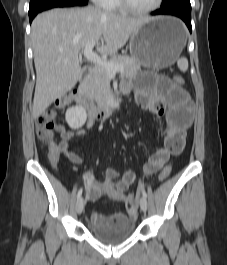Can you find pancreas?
Here are the masks:
<instances>
[{"instance_id":"pancreas-1","label":"pancreas","mask_w":227,"mask_h":265,"mask_svg":"<svg viewBox=\"0 0 227 265\" xmlns=\"http://www.w3.org/2000/svg\"><path fill=\"white\" fill-rule=\"evenodd\" d=\"M107 62L115 65H122L124 71L121 72V74L126 77H132L141 70L139 62L129 56H115L110 58ZM88 91L98 104L104 103L107 98L111 96L110 75L105 68L99 65L94 66L88 82Z\"/></svg>"}]
</instances>
